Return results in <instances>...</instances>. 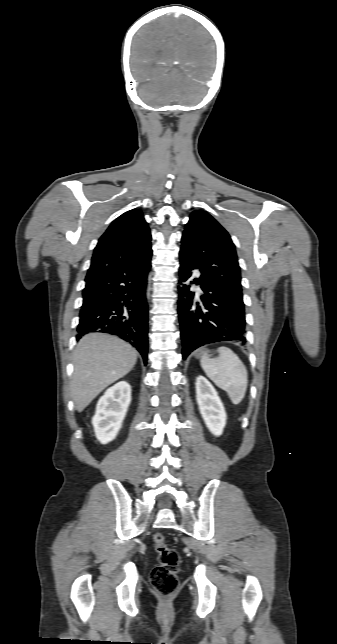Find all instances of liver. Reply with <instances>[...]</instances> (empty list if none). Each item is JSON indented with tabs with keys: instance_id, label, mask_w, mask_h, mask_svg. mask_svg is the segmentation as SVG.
<instances>
[{
	"instance_id": "obj_1",
	"label": "liver",
	"mask_w": 337,
	"mask_h": 644,
	"mask_svg": "<svg viewBox=\"0 0 337 644\" xmlns=\"http://www.w3.org/2000/svg\"><path fill=\"white\" fill-rule=\"evenodd\" d=\"M137 351L118 337L92 333L84 336L73 355L71 396L82 412L106 387L128 374Z\"/></svg>"
}]
</instances>
